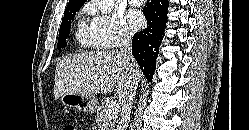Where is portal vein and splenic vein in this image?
Segmentation results:
<instances>
[{"instance_id": "obj_1", "label": "portal vein and splenic vein", "mask_w": 249, "mask_h": 130, "mask_svg": "<svg viewBox=\"0 0 249 130\" xmlns=\"http://www.w3.org/2000/svg\"><path fill=\"white\" fill-rule=\"evenodd\" d=\"M119 108V104L116 101H112L106 110V115H116L119 112Z\"/></svg>"}]
</instances>
